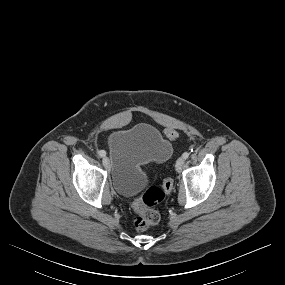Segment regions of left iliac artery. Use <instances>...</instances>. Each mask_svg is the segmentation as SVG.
I'll return each mask as SVG.
<instances>
[{"label":"left iliac artery","instance_id":"obj_1","mask_svg":"<svg viewBox=\"0 0 285 285\" xmlns=\"http://www.w3.org/2000/svg\"><path fill=\"white\" fill-rule=\"evenodd\" d=\"M182 157H183L184 159H187V158L189 157V153H188V152H184V153L182 154Z\"/></svg>","mask_w":285,"mask_h":285}]
</instances>
